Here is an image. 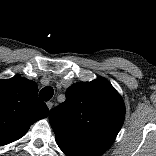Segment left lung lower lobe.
Returning a JSON list of instances; mask_svg holds the SVG:
<instances>
[{"label": "left lung lower lobe", "instance_id": "0a47b994", "mask_svg": "<svg viewBox=\"0 0 156 156\" xmlns=\"http://www.w3.org/2000/svg\"><path fill=\"white\" fill-rule=\"evenodd\" d=\"M60 149L67 155V156H84L83 154H80L78 152H75L73 150L66 149V147L62 146L61 144L57 143Z\"/></svg>", "mask_w": 156, "mask_h": 156}]
</instances>
